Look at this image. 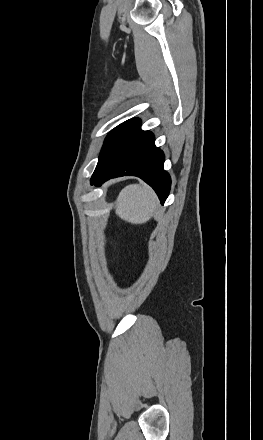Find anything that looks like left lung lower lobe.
Wrapping results in <instances>:
<instances>
[{
	"instance_id": "obj_1",
	"label": "left lung lower lobe",
	"mask_w": 263,
	"mask_h": 440,
	"mask_svg": "<svg viewBox=\"0 0 263 440\" xmlns=\"http://www.w3.org/2000/svg\"><path fill=\"white\" fill-rule=\"evenodd\" d=\"M140 120L133 119L126 128L118 145L104 168L94 172L91 184L124 176H138L157 193L163 204L168 197L171 179L164 170V154L155 146L154 135L140 129Z\"/></svg>"
}]
</instances>
